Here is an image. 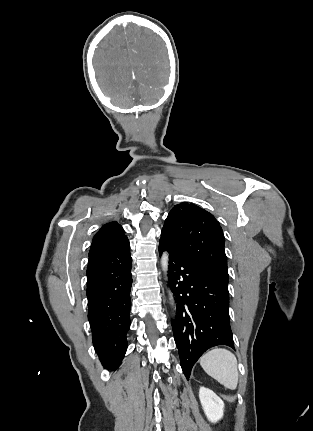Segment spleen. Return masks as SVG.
Instances as JSON below:
<instances>
[{"label": "spleen", "mask_w": 313, "mask_h": 431, "mask_svg": "<svg viewBox=\"0 0 313 431\" xmlns=\"http://www.w3.org/2000/svg\"><path fill=\"white\" fill-rule=\"evenodd\" d=\"M203 370L225 388L235 390L238 385L237 359L233 353L223 348H215L200 358Z\"/></svg>", "instance_id": "spleen-1"}]
</instances>
